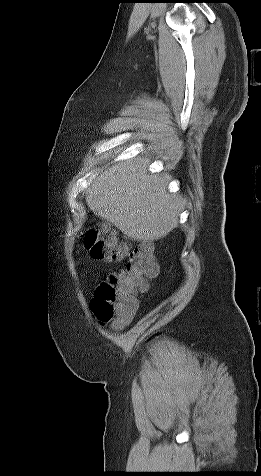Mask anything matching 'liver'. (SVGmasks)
I'll use <instances>...</instances> for the list:
<instances>
[{
  "label": "liver",
  "instance_id": "obj_1",
  "mask_svg": "<svg viewBox=\"0 0 261 476\" xmlns=\"http://www.w3.org/2000/svg\"><path fill=\"white\" fill-rule=\"evenodd\" d=\"M150 159L111 162L90 183L88 207L126 237L154 241L177 227L183 199L168 189L169 175L149 172Z\"/></svg>",
  "mask_w": 261,
  "mask_h": 476
}]
</instances>
